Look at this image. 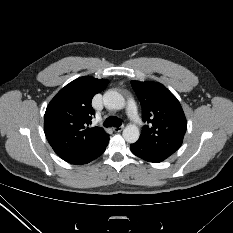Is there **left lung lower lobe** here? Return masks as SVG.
Listing matches in <instances>:
<instances>
[{
  "label": "left lung lower lobe",
  "instance_id": "obj_1",
  "mask_svg": "<svg viewBox=\"0 0 233 233\" xmlns=\"http://www.w3.org/2000/svg\"><path fill=\"white\" fill-rule=\"evenodd\" d=\"M132 153L143 160L153 163H159L170 156V154L149 147L141 140L130 145Z\"/></svg>",
  "mask_w": 233,
  "mask_h": 233
}]
</instances>
